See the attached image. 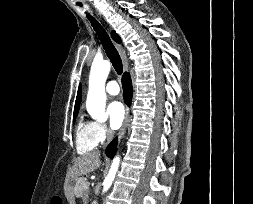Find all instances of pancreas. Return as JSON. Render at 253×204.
<instances>
[{"label": "pancreas", "mask_w": 253, "mask_h": 204, "mask_svg": "<svg viewBox=\"0 0 253 204\" xmlns=\"http://www.w3.org/2000/svg\"><path fill=\"white\" fill-rule=\"evenodd\" d=\"M87 182L88 181H87L86 178L80 177L77 180V183H76L75 188H74L75 194L82 197L84 200H86L87 197H88V188L84 187L85 183H87Z\"/></svg>", "instance_id": "1"}]
</instances>
